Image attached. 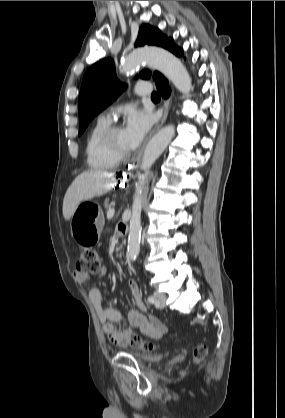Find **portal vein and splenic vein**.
Listing matches in <instances>:
<instances>
[{"mask_svg":"<svg viewBox=\"0 0 285 418\" xmlns=\"http://www.w3.org/2000/svg\"><path fill=\"white\" fill-rule=\"evenodd\" d=\"M115 213V209L114 208H110L107 212V218L110 219L114 216Z\"/></svg>","mask_w":285,"mask_h":418,"instance_id":"portal-vein-and-splenic-vein-1","label":"portal vein and splenic vein"}]
</instances>
